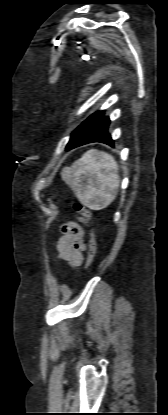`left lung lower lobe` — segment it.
<instances>
[{
	"label": "left lung lower lobe",
	"instance_id": "0a47b994",
	"mask_svg": "<svg viewBox=\"0 0 168 415\" xmlns=\"http://www.w3.org/2000/svg\"><path fill=\"white\" fill-rule=\"evenodd\" d=\"M109 124V117H104V112L102 111L94 119L90 126L82 133V135L75 141V143L67 150H71L75 147L91 142H101L110 146H114V140L108 133Z\"/></svg>",
	"mask_w": 168,
	"mask_h": 415
}]
</instances>
